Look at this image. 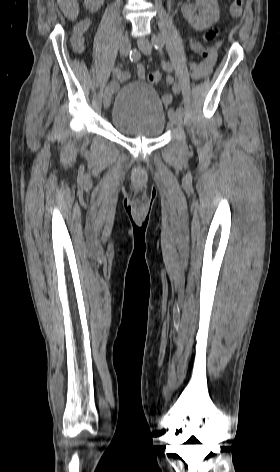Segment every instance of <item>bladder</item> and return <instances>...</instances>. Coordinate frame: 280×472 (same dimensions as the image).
I'll list each match as a JSON object with an SVG mask.
<instances>
[{
  "label": "bladder",
  "instance_id": "31cf9c89",
  "mask_svg": "<svg viewBox=\"0 0 280 472\" xmlns=\"http://www.w3.org/2000/svg\"><path fill=\"white\" fill-rule=\"evenodd\" d=\"M110 123L126 136L156 138L165 130L166 111L153 86L144 81H132L117 91Z\"/></svg>",
  "mask_w": 280,
  "mask_h": 472
}]
</instances>
